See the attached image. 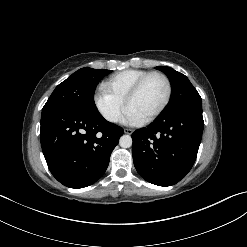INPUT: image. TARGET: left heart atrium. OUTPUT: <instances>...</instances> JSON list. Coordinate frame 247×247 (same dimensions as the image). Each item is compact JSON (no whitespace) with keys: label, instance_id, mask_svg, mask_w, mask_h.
<instances>
[{"label":"left heart atrium","instance_id":"39dd6f15","mask_svg":"<svg viewBox=\"0 0 247 247\" xmlns=\"http://www.w3.org/2000/svg\"><path fill=\"white\" fill-rule=\"evenodd\" d=\"M123 122L126 124L137 125L143 122V118H141L134 110L127 107L123 117Z\"/></svg>","mask_w":247,"mask_h":247}]
</instances>
